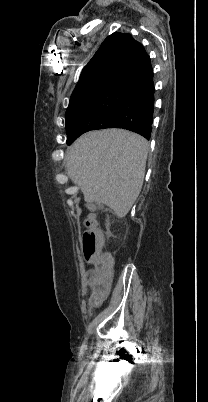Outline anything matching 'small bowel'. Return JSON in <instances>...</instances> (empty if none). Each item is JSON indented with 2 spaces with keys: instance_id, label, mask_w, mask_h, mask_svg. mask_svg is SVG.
Masks as SVG:
<instances>
[{
  "instance_id": "1",
  "label": "small bowel",
  "mask_w": 208,
  "mask_h": 402,
  "mask_svg": "<svg viewBox=\"0 0 208 402\" xmlns=\"http://www.w3.org/2000/svg\"><path fill=\"white\" fill-rule=\"evenodd\" d=\"M100 256H105V255L103 253H101ZM93 296H98L99 298L103 299L106 295H93Z\"/></svg>"
}]
</instances>
